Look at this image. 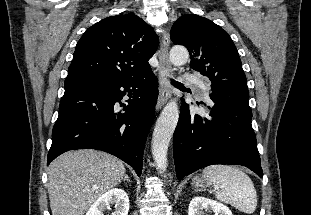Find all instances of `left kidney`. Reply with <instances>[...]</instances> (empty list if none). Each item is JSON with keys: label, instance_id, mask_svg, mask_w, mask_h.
Segmentation results:
<instances>
[{"label": "left kidney", "instance_id": "5707ae66", "mask_svg": "<svg viewBox=\"0 0 311 215\" xmlns=\"http://www.w3.org/2000/svg\"><path fill=\"white\" fill-rule=\"evenodd\" d=\"M204 212H214L215 215H233L231 210L214 200L204 197H195L191 200L188 215H204Z\"/></svg>", "mask_w": 311, "mask_h": 215}]
</instances>
